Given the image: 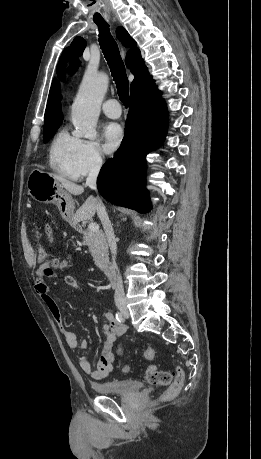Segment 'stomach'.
Here are the masks:
<instances>
[{
  "label": "stomach",
  "mask_w": 261,
  "mask_h": 459,
  "mask_svg": "<svg viewBox=\"0 0 261 459\" xmlns=\"http://www.w3.org/2000/svg\"><path fill=\"white\" fill-rule=\"evenodd\" d=\"M27 188L34 200L56 204L67 217L71 215L68 208L70 198L52 174L40 169L32 170L27 180Z\"/></svg>",
  "instance_id": "0dacf381"
}]
</instances>
